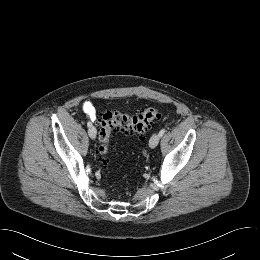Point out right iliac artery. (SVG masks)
Masks as SVG:
<instances>
[{
	"mask_svg": "<svg viewBox=\"0 0 260 260\" xmlns=\"http://www.w3.org/2000/svg\"><path fill=\"white\" fill-rule=\"evenodd\" d=\"M87 126H88V127H91V126H92V123H91V122H88V123H87Z\"/></svg>",
	"mask_w": 260,
	"mask_h": 260,
	"instance_id": "obj_1",
	"label": "right iliac artery"
}]
</instances>
